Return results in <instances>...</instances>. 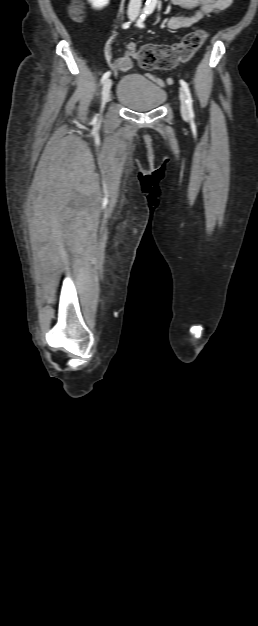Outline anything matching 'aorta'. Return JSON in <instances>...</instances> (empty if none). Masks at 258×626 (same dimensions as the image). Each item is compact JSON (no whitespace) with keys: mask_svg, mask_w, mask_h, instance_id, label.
<instances>
[{"mask_svg":"<svg viewBox=\"0 0 258 626\" xmlns=\"http://www.w3.org/2000/svg\"><path fill=\"white\" fill-rule=\"evenodd\" d=\"M157 4V0H147L146 7L150 9H154Z\"/></svg>","mask_w":258,"mask_h":626,"instance_id":"1","label":"aorta"}]
</instances>
